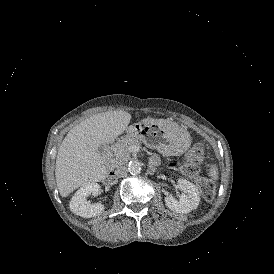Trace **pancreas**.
Returning a JSON list of instances; mask_svg holds the SVG:
<instances>
[{"mask_svg": "<svg viewBox=\"0 0 274 274\" xmlns=\"http://www.w3.org/2000/svg\"><path fill=\"white\" fill-rule=\"evenodd\" d=\"M137 140L134 137H126L116 142L109 151H106V155L113 159V166L117 167L123 165L130 159L129 147L131 145H137Z\"/></svg>", "mask_w": 274, "mask_h": 274, "instance_id": "obj_1", "label": "pancreas"}]
</instances>
